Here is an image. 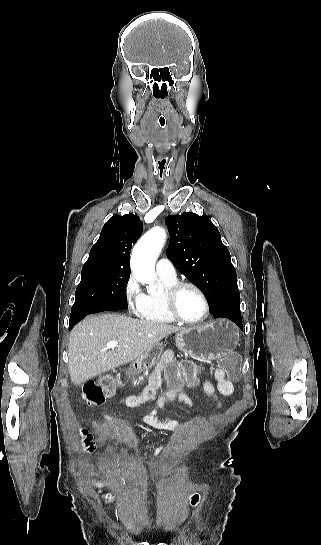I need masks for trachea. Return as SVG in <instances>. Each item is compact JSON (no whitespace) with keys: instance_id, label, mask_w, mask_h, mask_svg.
Instances as JSON below:
<instances>
[{"instance_id":"1","label":"trachea","mask_w":321,"mask_h":545,"mask_svg":"<svg viewBox=\"0 0 321 545\" xmlns=\"http://www.w3.org/2000/svg\"><path fill=\"white\" fill-rule=\"evenodd\" d=\"M159 117L160 118H159L158 121H159L160 125L162 126L161 128L164 130L166 128L165 126L167 125V122L164 120V118H163L164 116L162 114Z\"/></svg>"}]
</instances>
